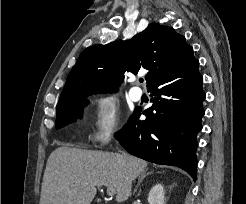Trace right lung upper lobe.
Returning <instances> with one entry per match:
<instances>
[{
  "instance_id": "1",
  "label": "right lung upper lobe",
  "mask_w": 246,
  "mask_h": 204,
  "mask_svg": "<svg viewBox=\"0 0 246 204\" xmlns=\"http://www.w3.org/2000/svg\"><path fill=\"white\" fill-rule=\"evenodd\" d=\"M196 59L185 38L168 26L151 23L129 41L96 44L79 56L60 99L99 92H116L126 71L149 70L147 87L164 75L189 66Z\"/></svg>"
}]
</instances>
